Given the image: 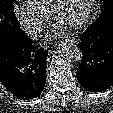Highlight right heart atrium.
<instances>
[{"label": "right heart atrium", "instance_id": "d8ad5b80", "mask_svg": "<svg viewBox=\"0 0 113 113\" xmlns=\"http://www.w3.org/2000/svg\"><path fill=\"white\" fill-rule=\"evenodd\" d=\"M15 13L23 28L32 36L38 35L47 21L46 15L25 3L17 4Z\"/></svg>", "mask_w": 113, "mask_h": 113}]
</instances>
